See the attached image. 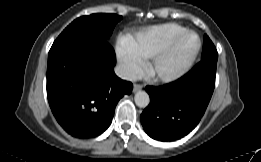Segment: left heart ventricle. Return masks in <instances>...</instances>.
<instances>
[{
    "mask_svg": "<svg viewBox=\"0 0 261 162\" xmlns=\"http://www.w3.org/2000/svg\"><path fill=\"white\" fill-rule=\"evenodd\" d=\"M197 45V37L188 34L177 44L173 52L161 63L160 70L172 71L181 66Z\"/></svg>",
    "mask_w": 261,
    "mask_h": 162,
    "instance_id": "obj_1",
    "label": "left heart ventricle"
}]
</instances>
